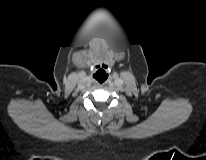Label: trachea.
<instances>
[{
	"mask_svg": "<svg viewBox=\"0 0 206 160\" xmlns=\"http://www.w3.org/2000/svg\"><path fill=\"white\" fill-rule=\"evenodd\" d=\"M107 77L108 75L104 70H99L96 72V74H94V78L98 80L100 83L104 82Z\"/></svg>",
	"mask_w": 206,
	"mask_h": 160,
	"instance_id": "1",
	"label": "trachea"
}]
</instances>
